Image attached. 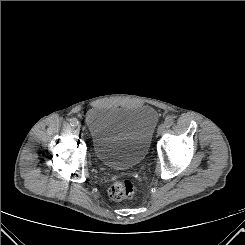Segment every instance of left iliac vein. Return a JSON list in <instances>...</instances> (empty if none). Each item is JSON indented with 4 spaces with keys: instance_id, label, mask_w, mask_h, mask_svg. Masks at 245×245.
<instances>
[{
    "instance_id": "4c4485c4",
    "label": "left iliac vein",
    "mask_w": 245,
    "mask_h": 245,
    "mask_svg": "<svg viewBox=\"0 0 245 245\" xmlns=\"http://www.w3.org/2000/svg\"><path fill=\"white\" fill-rule=\"evenodd\" d=\"M165 129H166L165 124H161V125L158 127V129H157V133H158L159 135H161V134L164 133Z\"/></svg>"
}]
</instances>
